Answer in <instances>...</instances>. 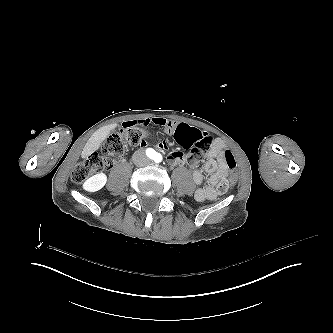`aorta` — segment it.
Instances as JSON below:
<instances>
[{
    "mask_svg": "<svg viewBox=\"0 0 333 333\" xmlns=\"http://www.w3.org/2000/svg\"><path fill=\"white\" fill-rule=\"evenodd\" d=\"M153 160L156 162V163H159L162 161V155L160 153H156L154 156H153Z\"/></svg>",
    "mask_w": 333,
    "mask_h": 333,
    "instance_id": "obj_1",
    "label": "aorta"
}]
</instances>
